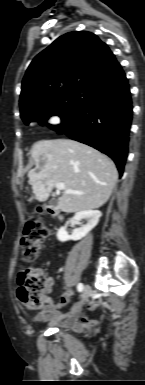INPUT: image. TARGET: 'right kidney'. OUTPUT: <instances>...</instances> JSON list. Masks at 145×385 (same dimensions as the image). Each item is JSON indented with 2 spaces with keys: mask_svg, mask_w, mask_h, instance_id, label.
I'll return each mask as SVG.
<instances>
[{
  "mask_svg": "<svg viewBox=\"0 0 145 385\" xmlns=\"http://www.w3.org/2000/svg\"><path fill=\"white\" fill-rule=\"evenodd\" d=\"M100 217L101 212L98 210H84L77 212L72 219L77 222L84 219L87 223L81 225L80 228L75 229L71 235H68L66 227H61L57 231V239L62 242L68 240L77 241L82 239L98 224Z\"/></svg>",
  "mask_w": 145,
  "mask_h": 385,
  "instance_id": "right-kidney-1",
  "label": "right kidney"
}]
</instances>
